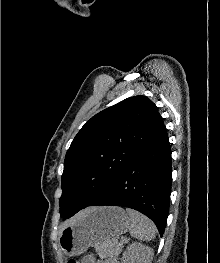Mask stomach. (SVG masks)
<instances>
[{
  "label": "stomach",
  "mask_w": 220,
  "mask_h": 263,
  "mask_svg": "<svg viewBox=\"0 0 220 263\" xmlns=\"http://www.w3.org/2000/svg\"><path fill=\"white\" fill-rule=\"evenodd\" d=\"M130 227V219L121 207H93L62 229L59 246L64 254L77 256L90 246L100 247Z\"/></svg>",
  "instance_id": "stomach-1"
}]
</instances>
